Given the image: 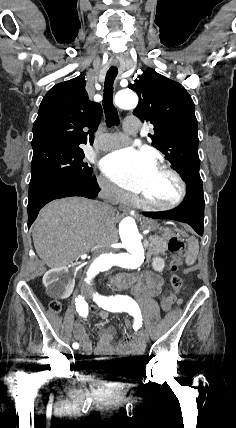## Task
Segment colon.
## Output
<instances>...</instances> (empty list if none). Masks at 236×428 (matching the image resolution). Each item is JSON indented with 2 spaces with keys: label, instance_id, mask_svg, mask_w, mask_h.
Segmentation results:
<instances>
[{
  "label": "colon",
  "instance_id": "obj_1",
  "mask_svg": "<svg viewBox=\"0 0 236 428\" xmlns=\"http://www.w3.org/2000/svg\"><path fill=\"white\" fill-rule=\"evenodd\" d=\"M168 249L170 252L175 253L176 255L173 258L171 264V274L169 277V283L173 291L169 295L165 296L162 300V309L164 311H169L176 301V292L181 289L183 285V279L178 275V267L182 263V256L185 254V245L182 238L179 236H171L168 240ZM50 310L54 313H60L62 311V305L58 301H52L50 303ZM125 326L127 328L132 327V322L126 320Z\"/></svg>",
  "mask_w": 236,
  "mask_h": 428
}]
</instances>
